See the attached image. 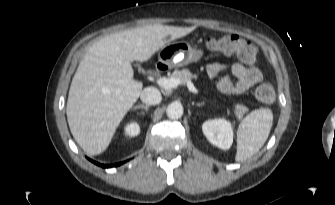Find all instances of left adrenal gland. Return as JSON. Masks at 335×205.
I'll return each instance as SVG.
<instances>
[{
    "instance_id": "1",
    "label": "left adrenal gland",
    "mask_w": 335,
    "mask_h": 205,
    "mask_svg": "<svg viewBox=\"0 0 335 205\" xmlns=\"http://www.w3.org/2000/svg\"><path fill=\"white\" fill-rule=\"evenodd\" d=\"M205 103L204 102H202V103H197L196 105L198 106V107H200V106H203Z\"/></svg>"
}]
</instances>
